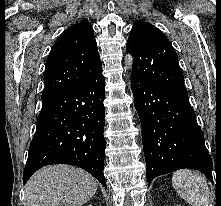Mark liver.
I'll use <instances>...</instances> for the list:
<instances>
[{
	"label": "liver",
	"instance_id": "1",
	"mask_svg": "<svg viewBox=\"0 0 221 206\" xmlns=\"http://www.w3.org/2000/svg\"><path fill=\"white\" fill-rule=\"evenodd\" d=\"M97 186L96 179L80 168L44 167L27 183V206H82L93 197Z\"/></svg>",
	"mask_w": 221,
	"mask_h": 206
}]
</instances>
